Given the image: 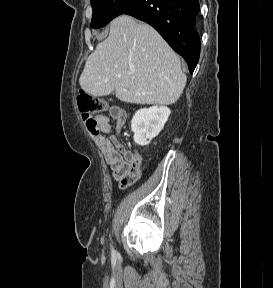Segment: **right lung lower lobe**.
I'll return each mask as SVG.
<instances>
[{
  "instance_id": "obj_1",
  "label": "right lung lower lobe",
  "mask_w": 273,
  "mask_h": 288,
  "mask_svg": "<svg viewBox=\"0 0 273 288\" xmlns=\"http://www.w3.org/2000/svg\"><path fill=\"white\" fill-rule=\"evenodd\" d=\"M198 0H136L123 14L153 26L180 54L193 73L200 56V38L196 31Z\"/></svg>"
}]
</instances>
